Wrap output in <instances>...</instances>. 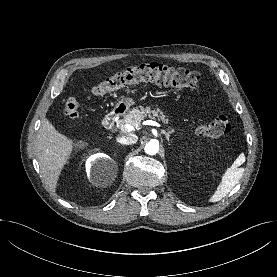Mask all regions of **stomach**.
Here are the masks:
<instances>
[{
	"label": "stomach",
	"mask_w": 277,
	"mask_h": 277,
	"mask_svg": "<svg viewBox=\"0 0 277 277\" xmlns=\"http://www.w3.org/2000/svg\"><path fill=\"white\" fill-rule=\"evenodd\" d=\"M134 104H135V101L132 98L128 97L125 100L119 101V103H117V106L119 107L120 110L124 111L125 109H128L130 106Z\"/></svg>",
	"instance_id": "obj_1"
}]
</instances>
